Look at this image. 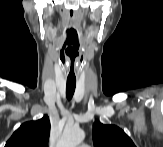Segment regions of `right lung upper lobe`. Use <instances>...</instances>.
I'll use <instances>...</instances> for the list:
<instances>
[{
  "instance_id": "obj_1",
  "label": "right lung upper lobe",
  "mask_w": 163,
  "mask_h": 147,
  "mask_svg": "<svg viewBox=\"0 0 163 147\" xmlns=\"http://www.w3.org/2000/svg\"><path fill=\"white\" fill-rule=\"evenodd\" d=\"M50 121L44 116L37 121L23 123L7 141L5 147H48Z\"/></svg>"
}]
</instances>
